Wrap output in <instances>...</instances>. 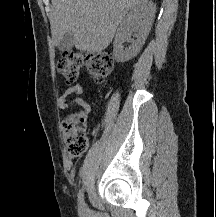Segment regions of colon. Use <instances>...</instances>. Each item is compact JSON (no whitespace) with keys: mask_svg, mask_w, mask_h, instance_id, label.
I'll use <instances>...</instances> for the list:
<instances>
[{"mask_svg":"<svg viewBox=\"0 0 216 217\" xmlns=\"http://www.w3.org/2000/svg\"><path fill=\"white\" fill-rule=\"evenodd\" d=\"M113 57L109 53H98L88 56L81 51L70 50L63 53L57 61V70L67 84H73L79 78L84 66L89 69L90 76L96 82L104 81L113 70ZM87 117L79 112L71 114L62 122L61 130L71 157H79L88 147L86 133Z\"/></svg>","mask_w":216,"mask_h":217,"instance_id":"colon-1","label":"colon"}]
</instances>
